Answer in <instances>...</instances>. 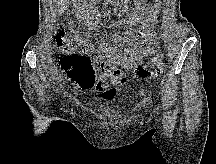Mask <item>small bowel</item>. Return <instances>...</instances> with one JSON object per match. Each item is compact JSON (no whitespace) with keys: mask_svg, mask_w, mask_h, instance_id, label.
<instances>
[{"mask_svg":"<svg viewBox=\"0 0 216 164\" xmlns=\"http://www.w3.org/2000/svg\"><path fill=\"white\" fill-rule=\"evenodd\" d=\"M159 7V0H155L153 5L138 8L126 21L116 24L128 26L126 35H111L108 40L99 43L97 50L90 46L87 52L107 66L101 76L102 84L97 86L99 98L113 99L119 87L127 81L121 69H136L157 52L155 26ZM80 39L86 42L84 38ZM149 61L154 63L157 59L151 58Z\"/></svg>","mask_w":216,"mask_h":164,"instance_id":"small-bowel-1","label":"small bowel"}]
</instances>
